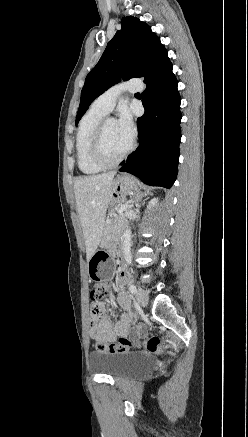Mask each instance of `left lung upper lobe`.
<instances>
[{"label": "left lung upper lobe", "instance_id": "left-lung-upper-lobe-1", "mask_svg": "<svg viewBox=\"0 0 248 437\" xmlns=\"http://www.w3.org/2000/svg\"><path fill=\"white\" fill-rule=\"evenodd\" d=\"M121 23V30L108 42L100 60L86 77L76 124L92 101L121 78L144 76L147 82L170 63L166 49L149 25L132 16L123 18Z\"/></svg>", "mask_w": 248, "mask_h": 437}]
</instances>
